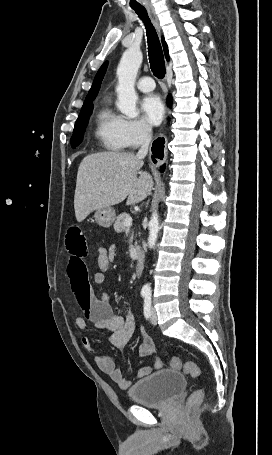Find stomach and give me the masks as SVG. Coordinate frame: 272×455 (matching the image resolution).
<instances>
[{"mask_svg":"<svg viewBox=\"0 0 272 455\" xmlns=\"http://www.w3.org/2000/svg\"><path fill=\"white\" fill-rule=\"evenodd\" d=\"M115 216H116L115 210L111 207L98 209L94 214L96 222L104 228H108L111 226V224L115 220Z\"/></svg>","mask_w":272,"mask_h":455,"instance_id":"0dacf381","label":"stomach"}]
</instances>
